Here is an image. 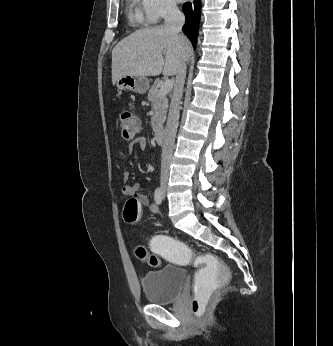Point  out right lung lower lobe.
Masks as SVG:
<instances>
[{
    "label": "right lung lower lobe",
    "mask_w": 333,
    "mask_h": 346,
    "mask_svg": "<svg viewBox=\"0 0 333 346\" xmlns=\"http://www.w3.org/2000/svg\"><path fill=\"white\" fill-rule=\"evenodd\" d=\"M199 10H200V2L197 0H195L192 3L190 2L184 3L183 5V12L186 17V22L182 29L184 34L191 41L194 48L196 45V38L198 35L196 33V26L198 21Z\"/></svg>",
    "instance_id": "98d812e1"
}]
</instances>
